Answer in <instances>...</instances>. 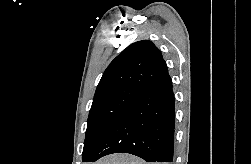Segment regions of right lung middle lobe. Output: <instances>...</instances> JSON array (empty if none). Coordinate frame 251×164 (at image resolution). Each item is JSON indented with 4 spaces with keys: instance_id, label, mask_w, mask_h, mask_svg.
Here are the masks:
<instances>
[{
    "instance_id": "obj_1",
    "label": "right lung middle lobe",
    "mask_w": 251,
    "mask_h": 164,
    "mask_svg": "<svg viewBox=\"0 0 251 164\" xmlns=\"http://www.w3.org/2000/svg\"><path fill=\"white\" fill-rule=\"evenodd\" d=\"M141 89L122 87L94 97L89 112L83 162L115 120L139 97Z\"/></svg>"
}]
</instances>
